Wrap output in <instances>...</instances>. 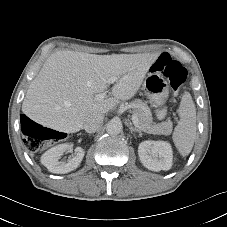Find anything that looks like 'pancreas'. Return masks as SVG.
Wrapping results in <instances>:
<instances>
[{
    "label": "pancreas",
    "instance_id": "obj_1",
    "mask_svg": "<svg viewBox=\"0 0 227 227\" xmlns=\"http://www.w3.org/2000/svg\"><path fill=\"white\" fill-rule=\"evenodd\" d=\"M130 106L133 109V112L137 115L139 125L143 131L152 134H171L172 123L170 121L158 124L153 123L151 110L142 100L135 99L130 102Z\"/></svg>",
    "mask_w": 227,
    "mask_h": 227
}]
</instances>
